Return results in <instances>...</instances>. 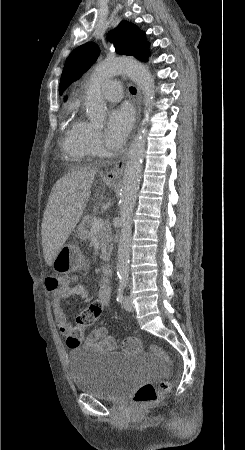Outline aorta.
Here are the masks:
<instances>
[{
  "instance_id": "obj_1",
  "label": "aorta",
  "mask_w": 245,
  "mask_h": 450,
  "mask_svg": "<svg viewBox=\"0 0 245 450\" xmlns=\"http://www.w3.org/2000/svg\"><path fill=\"white\" fill-rule=\"evenodd\" d=\"M120 73L127 74L141 87L145 105L144 120L128 153L120 193V216L122 224L118 243L117 274L120 278H128L132 214L141 180L142 159L147 134L146 123L149 120V111L155 99V84L149 69L142 63L128 58H116L98 64L88 83L86 112L92 123L96 125H102L104 123L107 107L100 87L103 81Z\"/></svg>"
}]
</instances>
